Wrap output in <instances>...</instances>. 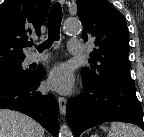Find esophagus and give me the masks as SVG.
Instances as JSON below:
<instances>
[{"label": "esophagus", "instance_id": "34e87169", "mask_svg": "<svg viewBox=\"0 0 144 137\" xmlns=\"http://www.w3.org/2000/svg\"><path fill=\"white\" fill-rule=\"evenodd\" d=\"M61 4H64V0H59ZM58 103H59V109L60 113L62 115L66 114V108H67V100L64 97H58Z\"/></svg>", "mask_w": 144, "mask_h": 137}]
</instances>
